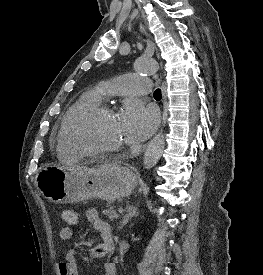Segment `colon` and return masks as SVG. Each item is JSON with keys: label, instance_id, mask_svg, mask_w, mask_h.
Returning <instances> with one entry per match:
<instances>
[{"label": "colon", "instance_id": "colon-1", "mask_svg": "<svg viewBox=\"0 0 263 275\" xmlns=\"http://www.w3.org/2000/svg\"><path fill=\"white\" fill-rule=\"evenodd\" d=\"M63 220L67 225L75 226L78 223V213L75 210L67 209L63 212Z\"/></svg>", "mask_w": 263, "mask_h": 275}]
</instances>
